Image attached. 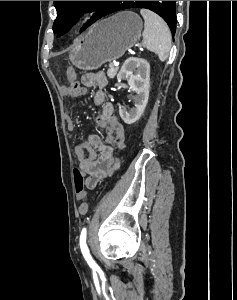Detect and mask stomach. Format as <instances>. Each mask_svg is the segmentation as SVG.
<instances>
[{
  "instance_id": "1",
  "label": "stomach",
  "mask_w": 237,
  "mask_h": 300,
  "mask_svg": "<svg viewBox=\"0 0 237 300\" xmlns=\"http://www.w3.org/2000/svg\"><path fill=\"white\" fill-rule=\"evenodd\" d=\"M143 23L132 11H122L92 25L88 33L76 41L69 59L77 69L94 71L103 63L115 61L138 41Z\"/></svg>"
}]
</instances>
